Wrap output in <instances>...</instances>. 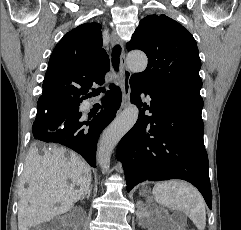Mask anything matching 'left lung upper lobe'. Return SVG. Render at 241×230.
<instances>
[{
  "instance_id": "obj_1",
  "label": "left lung upper lobe",
  "mask_w": 241,
  "mask_h": 230,
  "mask_svg": "<svg viewBox=\"0 0 241 230\" xmlns=\"http://www.w3.org/2000/svg\"><path fill=\"white\" fill-rule=\"evenodd\" d=\"M127 49H140L148 57L146 70L132 75L135 82L148 90L203 107L197 44L181 24L165 15L146 16L127 43Z\"/></svg>"
}]
</instances>
